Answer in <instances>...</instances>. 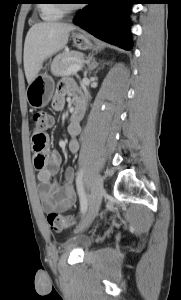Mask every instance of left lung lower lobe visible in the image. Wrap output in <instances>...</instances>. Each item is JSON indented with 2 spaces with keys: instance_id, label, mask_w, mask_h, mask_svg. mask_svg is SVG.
Returning a JSON list of instances; mask_svg holds the SVG:
<instances>
[{
  "instance_id": "0a47b994",
  "label": "left lung lower lobe",
  "mask_w": 181,
  "mask_h": 300,
  "mask_svg": "<svg viewBox=\"0 0 181 300\" xmlns=\"http://www.w3.org/2000/svg\"><path fill=\"white\" fill-rule=\"evenodd\" d=\"M130 0H87L89 4L74 19V23L106 42L130 50L129 23L125 4Z\"/></svg>"
}]
</instances>
